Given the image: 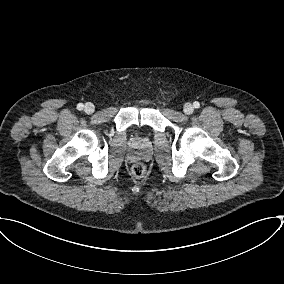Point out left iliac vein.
<instances>
[{"label": "left iliac vein", "mask_w": 284, "mask_h": 284, "mask_svg": "<svg viewBox=\"0 0 284 284\" xmlns=\"http://www.w3.org/2000/svg\"><path fill=\"white\" fill-rule=\"evenodd\" d=\"M183 110L185 114L190 115L194 112V107L191 103H186Z\"/></svg>", "instance_id": "1"}]
</instances>
